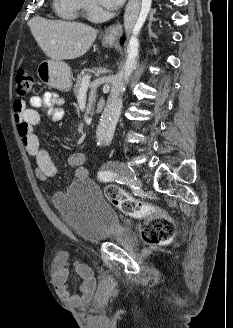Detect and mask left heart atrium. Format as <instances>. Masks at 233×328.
Segmentation results:
<instances>
[{"label":"left heart atrium","instance_id":"1","mask_svg":"<svg viewBox=\"0 0 233 328\" xmlns=\"http://www.w3.org/2000/svg\"><path fill=\"white\" fill-rule=\"evenodd\" d=\"M100 2L106 8L115 9L121 6L124 0H100Z\"/></svg>","mask_w":233,"mask_h":328}]
</instances>
